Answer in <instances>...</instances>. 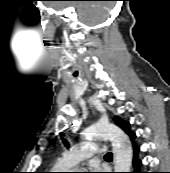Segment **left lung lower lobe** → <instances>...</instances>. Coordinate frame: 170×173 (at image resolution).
Masks as SVG:
<instances>
[{
  "label": "left lung lower lobe",
  "instance_id": "0a47b994",
  "mask_svg": "<svg viewBox=\"0 0 170 173\" xmlns=\"http://www.w3.org/2000/svg\"><path fill=\"white\" fill-rule=\"evenodd\" d=\"M133 148H134V158H133L134 171L132 173H144V172H141L140 170L141 160L138 157L140 148L135 143L133 144Z\"/></svg>",
  "mask_w": 170,
  "mask_h": 173
}]
</instances>
